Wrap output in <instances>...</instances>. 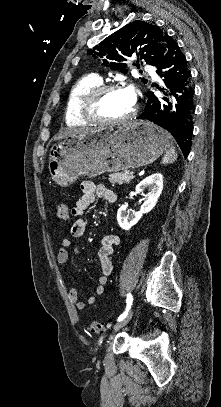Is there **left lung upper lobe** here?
<instances>
[{
  "instance_id": "obj_1",
  "label": "left lung upper lobe",
  "mask_w": 221,
  "mask_h": 407,
  "mask_svg": "<svg viewBox=\"0 0 221 407\" xmlns=\"http://www.w3.org/2000/svg\"><path fill=\"white\" fill-rule=\"evenodd\" d=\"M172 41L158 26L138 20L114 32L87 53L99 58L102 65L126 73V62L131 57L136 58L137 63L144 59L156 67ZM142 81L147 83L144 78Z\"/></svg>"
}]
</instances>
